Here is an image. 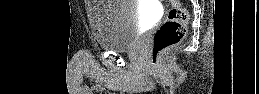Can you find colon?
<instances>
[{
	"mask_svg": "<svg viewBox=\"0 0 259 94\" xmlns=\"http://www.w3.org/2000/svg\"><path fill=\"white\" fill-rule=\"evenodd\" d=\"M187 22L188 11L181 1L170 0L167 17L153 35L149 57L150 66H156L160 55L185 37Z\"/></svg>",
	"mask_w": 259,
	"mask_h": 94,
	"instance_id": "colon-1",
	"label": "colon"
}]
</instances>
